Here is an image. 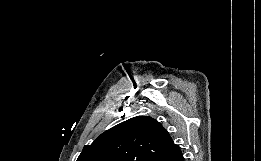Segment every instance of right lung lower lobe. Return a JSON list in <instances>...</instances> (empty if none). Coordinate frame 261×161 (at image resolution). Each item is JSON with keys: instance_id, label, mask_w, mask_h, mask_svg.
I'll return each instance as SVG.
<instances>
[{"instance_id": "right-lung-lower-lobe-1", "label": "right lung lower lobe", "mask_w": 261, "mask_h": 161, "mask_svg": "<svg viewBox=\"0 0 261 161\" xmlns=\"http://www.w3.org/2000/svg\"><path fill=\"white\" fill-rule=\"evenodd\" d=\"M159 161H184V158H183L181 151L179 150L176 153L169 155L167 157H164Z\"/></svg>"}]
</instances>
